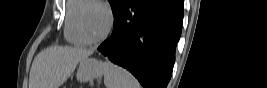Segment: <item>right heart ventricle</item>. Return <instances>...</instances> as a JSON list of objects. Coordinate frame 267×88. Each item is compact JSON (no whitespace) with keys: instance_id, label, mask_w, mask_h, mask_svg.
Returning a JSON list of instances; mask_svg holds the SVG:
<instances>
[{"instance_id":"e07e8e85","label":"right heart ventricle","mask_w":267,"mask_h":88,"mask_svg":"<svg viewBox=\"0 0 267 88\" xmlns=\"http://www.w3.org/2000/svg\"><path fill=\"white\" fill-rule=\"evenodd\" d=\"M90 2L91 0H70L67 2L64 36L72 45L83 46L87 44L79 34L77 17L80 11Z\"/></svg>"}]
</instances>
